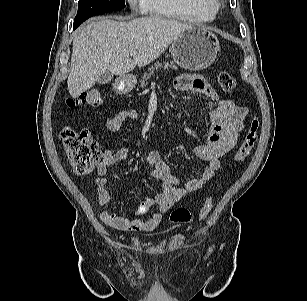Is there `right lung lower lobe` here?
<instances>
[{
	"mask_svg": "<svg viewBox=\"0 0 307 301\" xmlns=\"http://www.w3.org/2000/svg\"><path fill=\"white\" fill-rule=\"evenodd\" d=\"M77 27H78V26H75V25H74V27H73V28H74V29H76Z\"/></svg>",
	"mask_w": 307,
	"mask_h": 301,
	"instance_id": "1",
	"label": "right lung lower lobe"
}]
</instances>
